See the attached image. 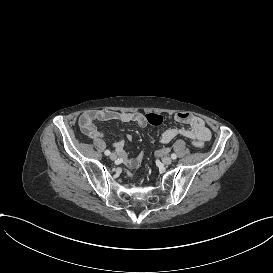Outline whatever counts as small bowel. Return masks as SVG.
<instances>
[{
  "mask_svg": "<svg viewBox=\"0 0 273 273\" xmlns=\"http://www.w3.org/2000/svg\"><path fill=\"white\" fill-rule=\"evenodd\" d=\"M174 119L176 122L184 124V126L170 127L163 131L159 138V142L161 144H168L177 137H185L190 139L195 147L202 148L204 144L211 139V131L203 119L185 112L177 113L174 116ZM97 121H119L122 123H135L140 128H145L148 124L145 115L141 112L98 110L94 112L83 113L79 119V126L81 131L85 136L99 143L103 142L104 135L101 131L98 130L96 126ZM128 140H131V136H128ZM113 146L123 163L129 169H136L135 156H130L124 150L125 141H115L113 142ZM168 155L169 152L164 151L159 155L155 154L154 158H163L164 156Z\"/></svg>",
  "mask_w": 273,
  "mask_h": 273,
  "instance_id": "small-bowel-1",
  "label": "small bowel"
}]
</instances>
